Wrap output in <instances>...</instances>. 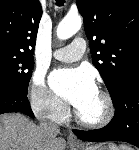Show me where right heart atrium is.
<instances>
[{"label":"right heart atrium","mask_w":139,"mask_h":150,"mask_svg":"<svg viewBox=\"0 0 139 150\" xmlns=\"http://www.w3.org/2000/svg\"><path fill=\"white\" fill-rule=\"evenodd\" d=\"M29 101L34 113L42 119L59 121L67 114V106L48 89L41 72L32 77Z\"/></svg>","instance_id":"d8ad5b80"}]
</instances>
